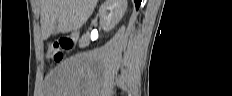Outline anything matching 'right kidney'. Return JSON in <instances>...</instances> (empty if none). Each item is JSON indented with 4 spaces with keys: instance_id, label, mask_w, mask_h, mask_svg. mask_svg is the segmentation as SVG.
I'll return each instance as SVG.
<instances>
[{
    "instance_id": "obj_1",
    "label": "right kidney",
    "mask_w": 232,
    "mask_h": 96,
    "mask_svg": "<svg viewBox=\"0 0 232 96\" xmlns=\"http://www.w3.org/2000/svg\"><path fill=\"white\" fill-rule=\"evenodd\" d=\"M127 9L126 0H106L99 8L100 25L105 32L112 30L123 17ZM109 11V13H108ZM89 43V36L83 35L80 40V47Z\"/></svg>"
}]
</instances>
